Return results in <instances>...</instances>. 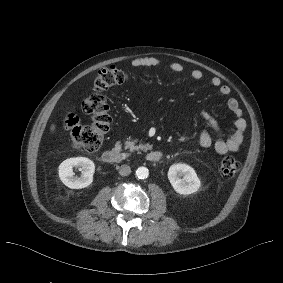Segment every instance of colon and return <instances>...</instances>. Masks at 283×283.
Listing matches in <instances>:
<instances>
[{
    "label": "colon",
    "mask_w": 283,
    "mask_h": 283,
    "mask_svg": "<svg viewBox=\"0 0 283 283\" xmlns=\"http://www.w3.org/2000/svg\"><path fill=\"white\" fill-rule=\"evenodd\" d=\"M129 77L128 73L115 66L98 71L91 93L82 102V109L89 115L91 123L81 124L79 117L75 114H68L64 119V127L69 132L75 148L87 152L99 149L111 123L109 105L104 92L127 82ZM239 169L240 163L233 157H225L221 161L220 173L224 177L234 176Z\"/></svg>",
    "instance_id": "colon-1"
}]
</instances>
